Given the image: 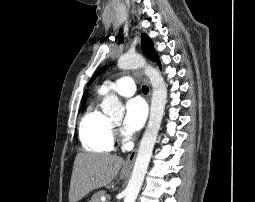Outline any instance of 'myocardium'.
<instances>
[{"label":"myocardium","mask_w":255,"mask_h":202,"mask_svg":"<svg viewBox=\"0 0 255 202\" xmlns=\"http://www.w3.org/2000/svg\"><path fill=\"white\" fill-rule=\"evenodd\" d=\"M114 125H115V126H117L118 124H117V123H115Z\"/></svg>","instance_id":"1"}]
</instances>
